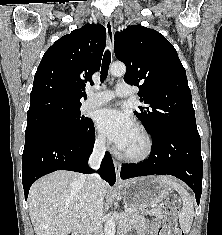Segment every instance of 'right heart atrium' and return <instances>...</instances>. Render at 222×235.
<instances>
[{
  "label": "right heart atrium",
  "instance_id": "1",
  "mask_svg": "<svg viewBox=\"0 0 222 235\" xmlns=\"http://www.w3.org/2000/svg\"><path fill=\"white\" fill-rule=\"evenodd\" d=\"M95 146L97 149H104L105 147V139L101 135H97L95 138Z\"/></svg>",
  "mask_w": 222,
  "mask_h": 235
}]
</instances>
